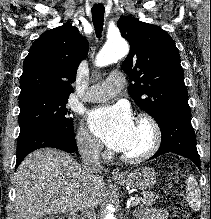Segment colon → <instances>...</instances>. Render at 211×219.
Returning a JSON list of instances; mask_svg holds the SVG:
<instances>
[{"instance_id":"1","label":"colon","mask_w":211,"mask_h":219,"mask_svg":"<svg viewBox=\"0 0 211 219\" xmlns=\"http://www.w3.org/2000/svg\"><path fill=\"white\" fill-rule=\"evenodd\" d=\"M187 165L181 163L178 168L169 176V187L172 191L171 202L173 205L172 219H190L188 207L183 200V191L185 187V174ZM42 219H70L59 215H51Z\"/></svg>"}]
</instances>
